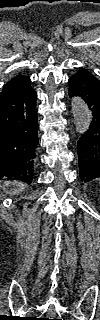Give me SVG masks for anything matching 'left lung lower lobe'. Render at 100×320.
<instances>
[{"label":"left lung lower lobe","instance_id":"obj_1","mask_svg":"<svg viewBox=\"0 0 100 320\" xmlns=\"http://www.w3.org/2000/svg\"><path fill=\"white\" fill-rule=\"evenodd\" d=\"M68 83L69 96L81 97L92 113L89 129L78 140L80 178L86 182L100 177V82L80 69Z\"/></svg>","mask_w":100,"mask_h":320}]
</instances>
